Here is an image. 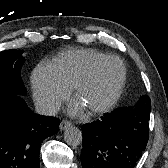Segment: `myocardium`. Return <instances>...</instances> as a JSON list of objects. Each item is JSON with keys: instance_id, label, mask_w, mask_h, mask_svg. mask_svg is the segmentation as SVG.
Wrapping results in <instances>:
<instances>
[{"instance_id": "f54148a6", "label": "myocardium", "mask_w": 168, "mask_h": 168, "mask_svg": "<svg viewBox=\"0 0 168 168\" xmlns=\"http://www.w3.org/2000/svg\"><path fill=\"white\" fill-rule=\"evenodd\" d=\"M114 60L116 61L121 70V74L119 80L117 81L116 85L114 86L112 92L110 93L109 97L99 106L92 107L88 109L91 115H99L108 112L118 101L124 85L127 79V69L126 65L121 58L116 55H104L103 57L96 60L85 72V74L77 81L74 86V96L78 99V96L82 92V90L89 85L98 71V69L107 61Z\"/></svg>"}]
</instances>
